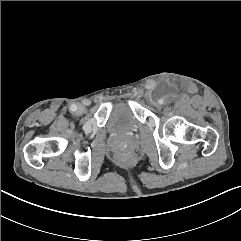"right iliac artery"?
Returning a JSON list of instances; mask_svg holds the SVG:
<instances>
[{
    "mask_svg": "<svg viewBox=\"0 0 241 241\" xmlns=\"http://www.w3.org/2000/svg\"><path fill=\"white\" fill-rule=\"evenodd\" d=\"M70 110H71L72 112H75V111L77 110V106H76L75 104L71 105V106H70Z\"/></svg>",
    "mask_w": 241,
    "mask_h": 241,
    "instance_id": "right-iliac-artery-1",
    "label": "right iliac artery"
}]
</instances>
